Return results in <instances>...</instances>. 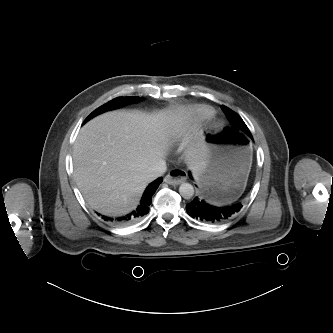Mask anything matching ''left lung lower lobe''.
<instances>
[{
	"label": "left lung lower lobe",
	"mask_w": 333,
	"mask_h": 333,
	"mask_svg": "<svg viewBox=\"0 0 333 333\" xmlns=\"http://www.w3.org/2000/svg\"><path fill=\"white\" fill-rule=\"evenodd\" d=\"M189 176L193 179L190 172ZM241 208V203L223 207L212 206L198 197L186 205V211L192 218L209 223H219L228 220L234 214L238 213Z\"/></svg>",
	"instance_id": "0a47b994"
}]
</instances>
